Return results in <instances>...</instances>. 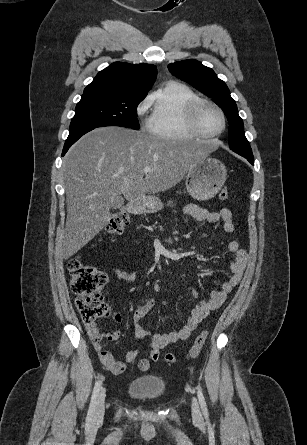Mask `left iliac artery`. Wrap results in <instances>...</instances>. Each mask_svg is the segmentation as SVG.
<instances>
[{
	"label": "left iliac artery",
	"mask_w": 307,
	"mask_h": 445,
	"mask_svg": "<svg viewBox=\"0 0 307 445\" xmlns=\"http://www.w3.org/2000/svg\"><path fill=\"white\" fill-rule=\"evenodd\" d=\"M197 395H198V399H199V403H200L202 412H203L204 416L206 418H208V410H207L205 398H204L203 393L199 387H197Z\"/></svg>",
	"instance_id": "1"
}]
</instances>
